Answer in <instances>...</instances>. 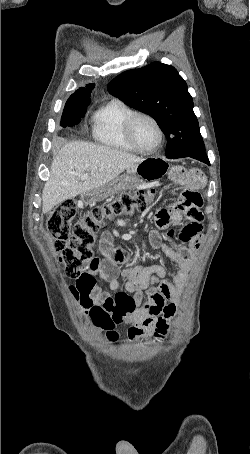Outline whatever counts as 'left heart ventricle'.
Returning a JSON list of instances; mask_svg holds the SVG:
<instances>
[{"mask_svg":"<svg viewBox=\"0 0 250 454\" xmlns=\"http://www.w3.org/2000/svg\"><path fill=\"white\" fill-rule=\"evenodd\" d=\"M134 135L138 145L146 150L155 147L159 141L156 127L151 121L145 118H141L137 121Z\"/></svg>","mask_w":250,"mask_h":454,"instance_id":"1","label":"left heart ventricle"}]
</instances>
